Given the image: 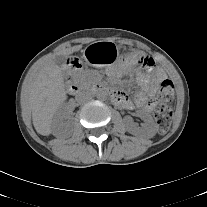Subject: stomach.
Masks as SVG:
<instances>
[{
    "mask_svg": "<svg viewBox=\"0 0 207 207\" xmlns=\"http://www.w3.org/2000/svg\"><path fill=\"white\" fill-rule=\"evenodd\" d=\"M83 58L91 66L113 72L120 60L119 49L108 41L94 42L86 47Z\"/></svg>",
    "mask_w": 207,
    "mask_h": 207,
    "instance_id": "0dacf381",
    "label": "stomach"
}]
</instances>
